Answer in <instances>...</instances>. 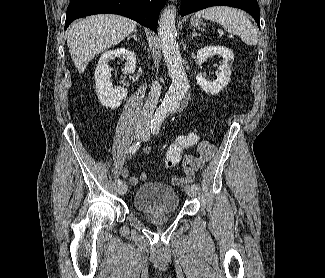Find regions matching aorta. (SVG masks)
<instances>
[{"mask_svg":"<svg viewBox=\"0 0 325 278\" xmlns=\"http://www.w3.org/2000/svg\"><path fill=\"white\" fill-rule=\"evenodd\" d=\"M175 7L163 10L158 24V35L161 41L162 53L172 80L164 101L155 113V121L161 123L168 112L178 109L189 89V82L183 66V59L176 42Z\"/></svg>","mask_w":325,"mask_h":278,"instance_id":"obj_1","label":"aorta"}]
</instances>
